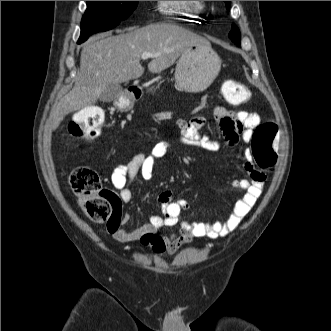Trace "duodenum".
Listing matches in <instances>:
<instances>
[{"label": "duodenum", "mask_w": 331, "mask_h": 331, "mask_svg": "<svg viewBox=\"0 0 331 331\" xmlns=\"http://www.w3.org/2000/svg\"><path fill=\"white\" fill-rule=\"evenodd\" d=\"M141 95H142V90L139 87H130L128 89V96L138 99L141 97Z\"/></svg>", "instance_id": "duodenum-1"}]
</instances>
